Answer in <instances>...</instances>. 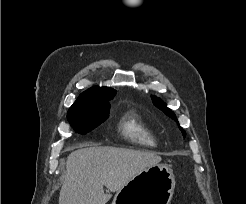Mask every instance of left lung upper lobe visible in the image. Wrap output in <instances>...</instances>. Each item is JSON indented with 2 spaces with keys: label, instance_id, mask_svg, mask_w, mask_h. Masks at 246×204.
<instances>
[{
  "label": "left lung upper lobe",
  "instance_id": "left-lung-upper-lobe-1",
  "mask_svg": "<svg viewBox=\"0 0 246 204\" xmlns=\"http://www.w3.org/2000/svg\"><path fill=\"white\" fill-rule=\"evenodd\" d=\"M152 100H153V103L155 104V106H157L166 115H168L169 117H171L172 119H174L178 123L177 118L175 117V114L172 111H170V109H168L166 107V104L163 103V101H161L159 98H156L155 96H152ZM180 129H181V131L183 133V136L185 137V131L181 127H180Z\"/></svg>",
  "mask_w": 246,
  "mask_h": 204
}]
</instances>
